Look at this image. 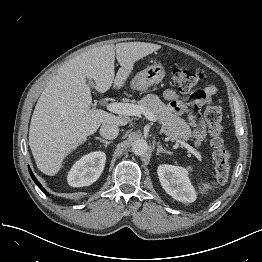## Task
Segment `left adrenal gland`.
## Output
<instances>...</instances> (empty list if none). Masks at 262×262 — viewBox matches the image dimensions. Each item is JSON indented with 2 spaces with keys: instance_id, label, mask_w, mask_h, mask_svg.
Listing matches in <instances>:
<instances>
[{
  "instance_id": "a2214340",
  "label": "left adrenal gland",
  "mask_w": 262,
  "mask_h": 262,
  "mask_svg": "<svg viewBox=\"0 0 262 262\" xmlns=\"http://www.w3.org/2000/svg\"><path fill=\"white\" fill-rule=\"evenodd\" d=\"M160 153H165V154H169L171 155L172 152L171 151H167L166 149H164L159 142H157V155H159Z\"/></svg>"
}]
</instances>
